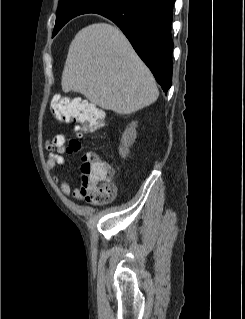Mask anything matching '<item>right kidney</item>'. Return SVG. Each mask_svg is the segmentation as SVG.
I'll use <instances>...</instances> for the list:
<instances>
[{
    "label": "right kidney",
    "mask_w": 245,
    "mask_h": 319,
    "mask_svg": "<svg viewBox=\"0 0 245 319\" xmlns=\"http://www.w3.org/2000/svg\"><path fill=\"white\" fill-rule=\"evenodd\" d=\"M136 127L137 122H132L122 135L121 145L119 147V154L122 158L128 155L129 147L135 142L137 137Z\"/></svg>",
    "instance_id": "1"
}]
</instances>
